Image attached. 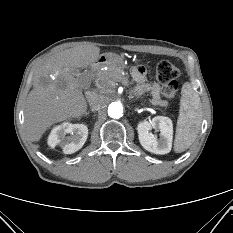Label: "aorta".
Listing matches in <instances>:
<instances>
[{
  "mask_svg": "<svg viewBox=\"0 0 233 233\" xmlns=\"http://www.w3.org/2000/svg\"><path fill=\"white\" fill-rule=\"evenodd\" d=\"M108 115L114 119H118L122 117L123 116V105L118 101L110 102L108 104Z\"/></svg>",
  "mask_w": 233,
  "mask_h": 233,
  "instance_id": "obj_1",
  "label": "aorta"
}]
</instances>
